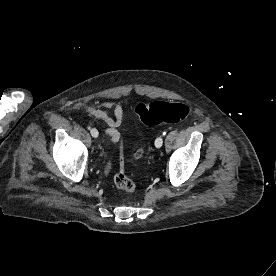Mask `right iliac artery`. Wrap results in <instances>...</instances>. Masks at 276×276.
I'll return each instance as SVG.
<instances>
[{
  "label": "right iliac artery",
  "instance_id": "right-iliac-artery-1",
  "mask_svg": "<svg viewBox=\"0 0 276 276\" xmlns=\"http://www.w3.org/2000/svg\"><path fill=\"white\" fill-rule=\"evenodd\" d=\"M88 130H91V127H90V126L88 127Z\"/></svg>",
  "mask_w": 276,
  "mask_h": 276
}]
</instances>
